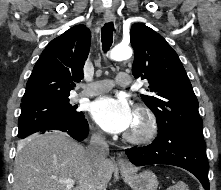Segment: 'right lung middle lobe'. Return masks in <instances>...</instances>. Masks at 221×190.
Returning a JSON list of instances; mask_svg holds the SVG:
<instances>
[{"label": "right lung middle lobe", "instance_id": "1", "mask_svg": "<svg viewBox=\"0 0 221 190\" xmlns=\"http://www.w3.org/2000/svg\"><path fill=\"white\" fill-rule=\"evenodd\" d=\"M69 98L41 101L21 106L18 120V138L53 127H69L84 119L83 112L76 110Z\"/></svg>", "mask_w": 221, "mask_h": 190}]
</instances>
